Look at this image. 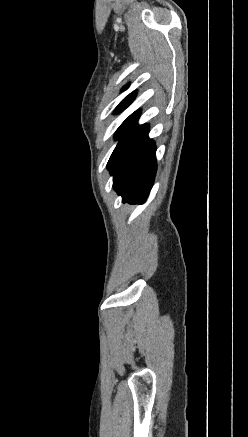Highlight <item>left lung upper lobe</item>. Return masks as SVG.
<instances>
[{"label": "left lung upper lobe", "instance_id": "left-lung-upper-lobe-1", "mask_svg": "<svg viewBox=\"0 0 248 437\" xmlns=\"http://www.w3.org/2000/svg\"><path fill=\"white\" fill-rule=\"evenodd\" d=\"M128 85H126L123 90L127 89ZM135 98V92H132L131 94H129L116 108L117 112H121L123 111L126 107H128L133 99Z\"/></svg>", "mask_w": 248, "mask_h": 437}]
</instances>
